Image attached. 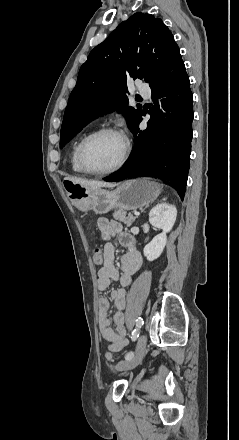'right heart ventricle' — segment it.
I'll list each match as a JSON object with an SVG mask.
<instances>
[{"mask_svg": "<svg viewBox=\"0 0 239 440\" xmlns=\"http://www.w3.org/2000/svg\"><path fill=\"white\" fill-rule=\"evenodd\" d=\"M88 135L87 132L82 133L73 143L71 150H70V157H69V162H70V167L71 170L76 173V174H85V172L81 169V167L79 166L78 163V158H77V153H78V148L80 143L82 142V140Z\"/></svg>", "mask_w": 239, "mask_h": 440, "instance_id": "right-heart-ventricle-1", "label": "right heart ventricle"}]
</instances>
